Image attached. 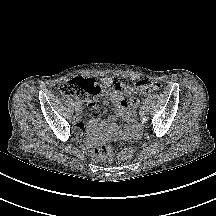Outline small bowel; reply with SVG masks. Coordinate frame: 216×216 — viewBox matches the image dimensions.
<instances>
[{
    "mask_svg": "<svg viewBox=\"0 0 216 216\" xmlns=\"http://www.w3.org/2000/svg\"><path fill=\"white\" fill-rule=\"evenodd\" d=\"M103 90L109 102L115 109L116 116L120 117L125 126L121 127L115 122L114 117L105 120L91 119L87 125L81 116L74 117V128L79 134L86 135L92 146L111 141L126 139L137 134L139 128L136 124V110L139 105L137 93L134 88L113 77L102 79ZM89 108L94 107V102L88 104Z\"/></svg>",
    "mask_w": 216,
    "mask_h": 216,
    "instance_id": "c3829d8e",
    "label": "small bowel"
}]
</instances>
